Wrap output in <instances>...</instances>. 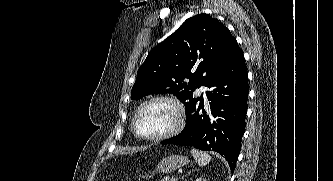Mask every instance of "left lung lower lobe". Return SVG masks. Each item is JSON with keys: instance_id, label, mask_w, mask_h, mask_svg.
I'll use <instances>...</instances> for the list:
<instances>
[{"instance_id": "0a47b994", "label": "left lung lower lobe", "mask_w": 333, "mask_h": 181, "mask_svg": "<svg viewBox=\"0 0 333 181\" xmlns=\"http://www.w3.org/2000/svg\"><path fill=\"white\" fill-rule=\"evenodd\" d=\"M205 86L210 89L207 91L210 114L205 113L201 96L197 106L186 113L184 130L161 144L216 151L226 158L233 172L245 130L248 98V76L241 49Z\"/></svg>"}]
</instances>
